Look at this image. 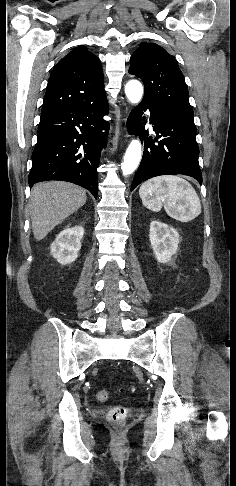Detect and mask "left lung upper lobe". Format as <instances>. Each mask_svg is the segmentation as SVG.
<instances>
[{"instance_id":"5c2ea615","label":"left lung upper lobe","mask_w":236,"mask_h":486,"mask_svg":"<svg viewBox=\"0 0 236 486\" xmlns=\"http://www.w3.org/2000/svg\"><path fill=\"white\" fill-rule=\"evenodd\" d=\"M129 73L143 81V100L156 103L175 118L194 123L183 74L176 59L164 48L141 43L130 58Z\"/></svg>"}]
</instances>
